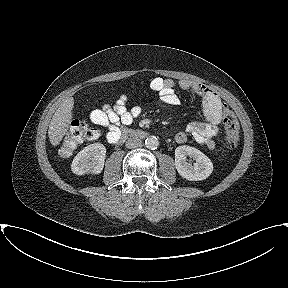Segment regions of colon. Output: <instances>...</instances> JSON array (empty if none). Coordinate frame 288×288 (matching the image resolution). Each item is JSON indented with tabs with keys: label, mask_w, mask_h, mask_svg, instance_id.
<instances>
[{
	"label": "colon",
	"mask_w": 288,
	"mask_h": 288,
	"mask_svg": "<svg viewBox=\"0 0 288 288\" xmlns=\"http://www.w3.org/2000/svg\"><path fill=\"white\" fill-rule=\"evenodd\" d=\"M223 123L226 133L227 148L232 151L239 140V124L233 112L223 105ZM99 131L83 120H74L62 141L59 154L68 157L82 143L98 138Z\"/></svg>",
	"instance_id": "obj_1"
}]
</instances>
